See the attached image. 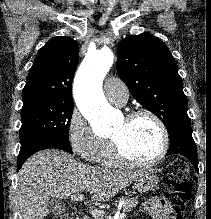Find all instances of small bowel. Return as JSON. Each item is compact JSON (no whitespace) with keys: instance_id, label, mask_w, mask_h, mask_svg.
<instances>
[{"instance_id":"obj_1","label":"small bowel","mask_w":211,"mask_h":219,"mask_svg":"<svg viewBox=\"0 0 211 219\" xmlns=\"http://www.w3.org/2000/svg\"><path fill=\"white\" fill-rule=\"evenodd\" d=\"M144 212L152 219H174L172 208L162 197H152L143 204Z\"/></svg>"}]
</instances>
